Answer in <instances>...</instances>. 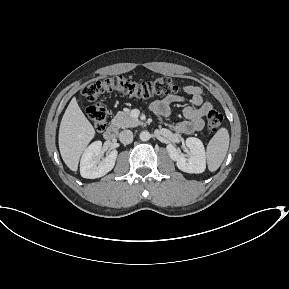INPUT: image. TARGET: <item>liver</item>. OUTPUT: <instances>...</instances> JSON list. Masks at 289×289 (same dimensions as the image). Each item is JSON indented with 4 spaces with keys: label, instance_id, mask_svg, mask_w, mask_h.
Segmentation results:
<instances>
[{
    "label": "liver",
    "instance_id": "6515ba94",
    "mask_svg": "<svg viewBox=\"0 0 289 289\" xmlns=\"http://www.w3.org/2000/svg\"><path fill=\"white\" fill-rule=\"evenodd\" d=\"M94 136V127L85 117L76 98L73 97L59 128L60 154L70 170L77 171L79 159Z\"/></svg>",
    "mask_w": 289,
    "mask_h": 289
}]
</instances>
